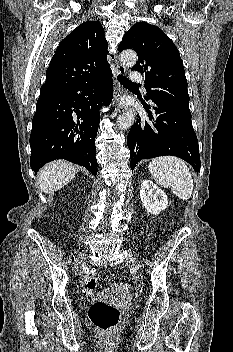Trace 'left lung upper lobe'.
Instances as JSON below:
<instances>
[{
    "mask_svg": "<svg viewBox=\"0 0 233 352\" xmlns=\"http://www.w3.org/2000/svg\"><path fill=\"white\" fill-rule=\"evenodd\" d=\"M134 49L138 62L131 70L144 74L146 99L154 97L189 110L187 80L179 51L157 26L139 22L130 28L119 51Z\"/></svg>",
    "mask_w": 233,
    "mask_h": 352,
    "instance_id": "1",
    "label": "left lung upper lobe"
}]
</instances>
